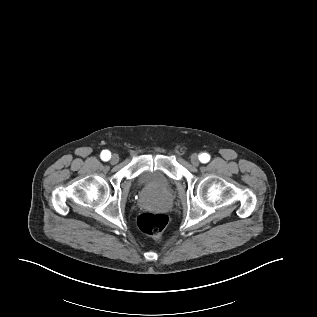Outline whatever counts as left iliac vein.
I'll list each match as a JSON object with an SVG mask.
<instances>
[{
    "instance_id": "4c4485c4",
    "label": "left iliac vein",
    "mask_w": 317,
    "mask_h": 317,
    "mask_svg": "<svg viewBox=\"0 0 317 317\" xmlns=\"http://www.w3.org/2000/svg\"><path fill=\"white\" fill-rule=\"evenodd\" d=\"M190 161H191V163L194 165V166H198L199 165V156H198V154H196V153H194V154H192L191 155V157H190Z\"/></svg>"
}]
</instances>
